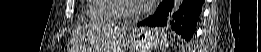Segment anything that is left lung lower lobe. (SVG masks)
I'll list each match as a JSON object with an SVG mask.
<instances>
[{
    "instance_id": "0a47b994",
    "label": "left lung lower lobe",
    "mask_w": 261,
    "mask_h": 52,
    "mask_svg": "<svg viewBox=\"0 0 261 52\" xmlns=\"http://www.w3.org/2000/svg\"><path fill=\"white\" fill-rule=\"evenodd\" d=\"M203 0H184L176 13H173L171 20L167 23V16L173 7V0H163L156 12L137 24L140 26H166L189 41L196 29V24L202 11Z\"/></svg>"
}]
</instances>
